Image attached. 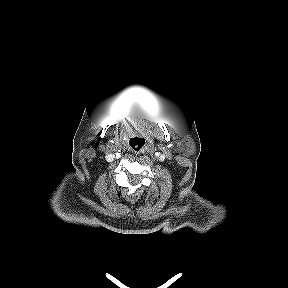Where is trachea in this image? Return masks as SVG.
Masks as SVG:
<instances>
[{"label": "trachea", "mask_w": 288, "mask_h": 288, "mask_svg": "<svg viewBox=\"0 0 288 288\" xmlns=\"http://www.w3.org/2000/svg\"><path fill=\"white\" fill-rule=\"evenodd\" d=\"M129 146L134 152L138 153L144 148L145 140L138 137H132L129 141Z\"/></svg>", "instance_id": "obj_1"}]
</instances>
